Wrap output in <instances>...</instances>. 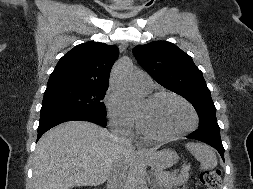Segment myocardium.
I'll return each mask as SVG.
<instances>
[{"label": "myocardium", "instance_id": "myocardium-1", "mask_svg": "<svg viewBox=\"0 0 253 189\" xmlns=\"http://www.w3.org/2000/svg\"><path fill=\"white\" fill-rule=\"evenodd\" d=\"M165 97L173 98V99L181 102L182 104H184L189 109V111L191 113L192 122L188 127H186L185 129H183L177 133H174V134L168 135V136H157V135L151 134V133L147 132L146 130H144L139 122V119H138V122H137L138 131L143 136H145L151 140L158 141V142L172 141V140H175L177 138H180V137H183V136L189 134L190 132L194 131L197 128L198 121H199L198 114H197L196 110L194 109V107L191 105V103L176 93L167 92V91L156 92L148 97L147 102L154 103V102L158 101L159 99L165 98Z\"/></svg>", "mask_w": 253, "mask_h": 189}]
</instances>
